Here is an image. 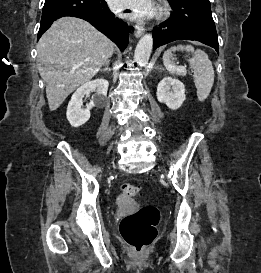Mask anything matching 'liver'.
<instances>
[{
	"label": "liver",
	"instance_id": "liver-1",
	"mask_svg": "<svg viewBox=\"0 0 261 273\" xmlns=\"http://www.w3.org/2000/svg\"><path fill=\"white\" fill-rule=\"evenodd\" d=\"M113 51V43L88 22L75 17L55 21L37 44L39 73L46 83L50 110L89 82Z\"/></svg>",
	"mask_w": 261,
	"mask_h": 273
}]
</instances>
